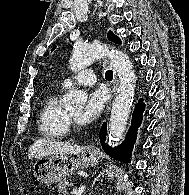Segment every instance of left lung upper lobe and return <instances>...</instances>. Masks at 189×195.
Instances as JSON below:
<instances>
[{"instance_id": "left-lung-upper-lobe-1", "label": "left lung upper lobe", "mask_w": 189, "mask_h": 195, "mask_svg": "<svg viewBox=\"0 0 189 195\" xmlns=\"http://www.w3.org/2000/svg\"><path fill=\"white\" fill-rule=\"evenodd\" d=\"M108 38L111 41H114L115 43L121 44V40L120 38H118L117 36H114L113 32H109L108 33ZM56 47L52 48V51L55 49Z\"/></svg>"}]
</instances>
